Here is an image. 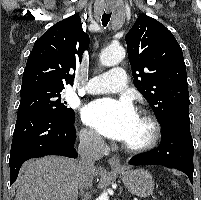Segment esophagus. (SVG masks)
<instances>
[{
	"instance_id": "obj_1",
	"label": "esophagus",
	"mask_w": 201,
	"mask_h": 200,
	"mask_svg": "<svg viewBox=\"0 0 201 200\" xmlns=\"http://www.w3.org/2000/svg\"><path fill=\"white\" fill-rule=\"evenodd\" d=\"M108 163L109 165L114 168V169H121L122 166H121V163H120V160L118 157H111L109 160H108Z\"/></svg>"
}]
</instances>
